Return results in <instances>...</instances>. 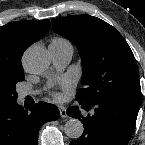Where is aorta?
<instances>
[{
  "label": "aorta",
  "instance_id": "aorta-1",
  "mask_svg": "<svg viewBox=\"0 0 145 145\" xmlns=\"http://www.w3.org/2000/svg\"><path fill=\"white\" fill-rule=\"evenodd\" d=\"M50 63L49 53L42 47H30L23 55V65L30 73H42ZM64 131L69 138L78 139L83 134L84 126L80 120L71 118L65 123Z\"/></svg>",
  "mask_w": 145,
  "mask_h": 145
}]
</instances>
